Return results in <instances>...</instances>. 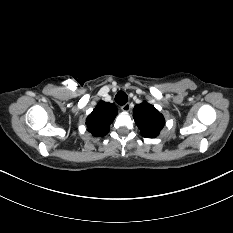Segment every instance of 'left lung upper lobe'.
Masks as SVG:
<instances>
[{
	"mask_svg": "<svg viewBox=\"0 0 233 233\" xmlns=\"http://www.w3.org/2000/svg\"><path fill=\"white\" fill-rule=\"evenodd\" d=\"M133 117L141 135L147 138L158 136L165 124L163 115L147 102L137 104L134 107Z\"/></svg>",
	"mask_w": 233,
	"mask_h": 233,
	"instance_id": "5c2ea615",
	"label": "left lung upper lobe"
}]
</instances>
